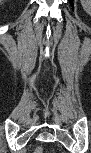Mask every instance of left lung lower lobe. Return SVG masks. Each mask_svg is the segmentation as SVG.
I'll return each mask as SVG.
<instances>
[{"instance_id":"left-lung-lower-lobe-1","label":"left lung lower lobe","mask_w":91,"mask_h":153,"mask_svg":"<svg viewBox=\"0 0 91 153\" xmlns=\"http://www.w3.org/2000/svg\"><path fill=\"white\" fill-rule=\"evenodd\" d=\"M70 4L73 6V0H69Z\"/></svg>"}]
</instances>
